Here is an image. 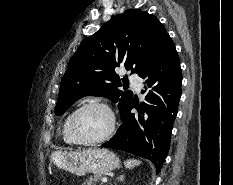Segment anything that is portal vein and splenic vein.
Listing matches in <instances>:
<instances>
[{"label": "portal vein and splenic vein", "instance_id": "18ae733b", "mask_svg": "<svg viewBox=\"0 0 233 185\" xmlns=\"http://www.w3.org/2000/svg\"><path fill=\"white\" fill-rule=\"evenodd\" d=\"M107 181H108L107 178H102V179H101V182H102V183H106Z\"/></svg>", "mask_w": 233, "mask_h": 185}]
</instances>
